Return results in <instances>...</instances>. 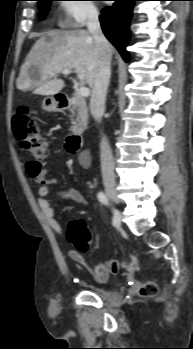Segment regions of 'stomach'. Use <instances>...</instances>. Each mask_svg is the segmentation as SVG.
Returning <instances> with one entry per match:
<instances>
[{
    "label": "stomach",
    "mask_w": 193,
    "mask_h": 349,
    "mask_svg": "<svg viewBox=\"0 0 193 349\" xmlns=\"http://www.w3.org/2000/svg\"><path fill=\"white\" fill-rule=\"evenodd\" d=\"M42 108L47 112H55L59 109V103L54 96L44 98Z\"/></svg>",
    "instance_id": "0dacf381"
}]
</instances>
